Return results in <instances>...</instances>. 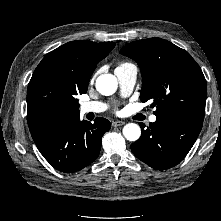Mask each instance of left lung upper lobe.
I'll return each instance as SVG.
<instances>
[{
	"label": "left lung upper lobe",
	"instance_id": "left-lung-upper-lobe-1",
	"mask_svg": "<svg viewBox=\"0 0 221 221\" xmlns=\"http://www.w3.org/2000/svg\"><path fill=\"white\" fill-rule=\"evenodd\" d=\"M121 54L142 73V102L152 100L156 117H187L203 122L207 86L196 61L184 49L161 38L129 43Z\"/></svg>",
	"mask_w": 221,
	"mask_h": 221
}]
</instances>
